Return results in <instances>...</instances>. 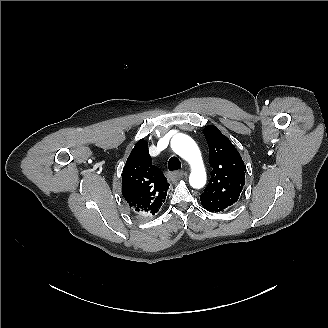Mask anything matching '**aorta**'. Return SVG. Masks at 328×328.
<instances>
[{
  "label": "aorta",
  "instance_id": "1",
  "mask_svg": "<svg viewBox=\"0 0 328 328\" xmlns=\"http://www.w3.org/2000/svg\"><path fill=\"white\" fill-rule=\"evenodd\" d=\"M171 148L191 166L189 183L193 188H202L206 183V172L200 150L188 135L179 133L171 140Z\"/></svg>",
  "mask_w": 328,
  "mask_h": 328
}]
</instances>
